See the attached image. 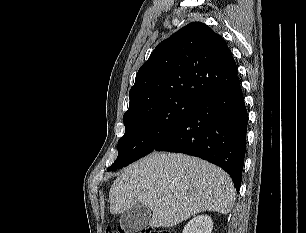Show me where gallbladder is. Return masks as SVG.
<instances>
[{"mask_svg":"<svg viewBox=\"0 0 306 233\" xmlns=\"http://www.w3.org/2000/svg\"><path fill=\"white\" fill-rule=\"evenodd\" d=\"M149 208L143 204H135L120 216V225L126 233H137L149 221Z\"/></svg>","mask_w":306,"mask_h":233,"instance_id":"gallbladder-1","label":"gallbladder"}]
</instances>
